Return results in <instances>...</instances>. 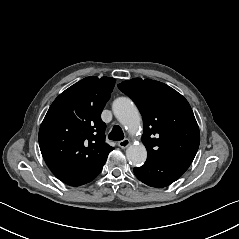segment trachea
<instances>
[{
    "mask_svg": "<svg viewBox=\"0 0 239 239\" xmlns=\"http://www.w3.org/2000/svg\"><path fill=\"white\" fill-rule=\"evenodd\" d=\"M108 137H109L110 140L120 141V140H123L124 133L118 125H115L112 128L111 132L109 133Z\"/></svg>",
    "mask_w": 239,
    "mask_h": 239,
    "instance_id": "3493384b",
    "label": "trachea"
}]
</instances>
